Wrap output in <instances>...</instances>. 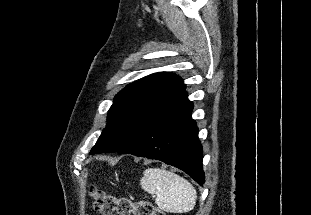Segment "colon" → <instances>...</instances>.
<instances>
[{
	"label": "colon",
	"instance_id": "obj_1",
	"mask_svg": "<svg viewBox=\"0 0 311 215\" xmlns=\"http://www.w3.org/2000/svg\"><path fill=\"white\" fill-rule=\"evenodd\" d=\"M89 192L94 210L101 215H164L146 200L134 201L127 196L107 193L95 186H91Z\"/></svg>",
	"mask_w": 311,
	"mask_h": 215
}]
</instances>
